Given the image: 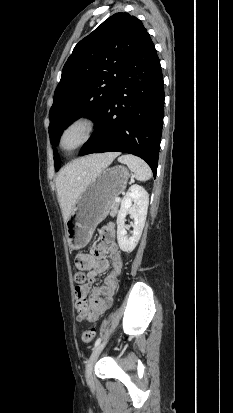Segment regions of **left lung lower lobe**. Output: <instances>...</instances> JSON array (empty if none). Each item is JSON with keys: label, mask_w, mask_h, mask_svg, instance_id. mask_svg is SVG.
Listing matches in <instances>:
<instances>
[{"label": "left lung lower lobe", "mask_w": 233, "mask_h": 413, "mask_svg": "<svg viewBox=\"0 0 233 413\" xmlns=\"http://www.w3.org/2000/svg\"><path fill=\"white\" fill-rule=\"evenodd\" d=\"M163 116V75L154 44L146 33L79 155L130 153L145 160L156 176Z\"/></svg>", "instance_id": "left-lung-lower-lobe-1"}]
</instances>
